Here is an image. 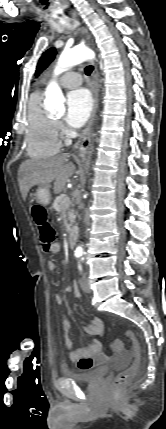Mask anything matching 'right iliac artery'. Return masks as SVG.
I'll list each match as a JSON object with an SVG mask.
<instances>
[{"mask_svg":"<svg viewBox=\"0 0 166 429\" xmlns=\"http://www.w3.org/2000/svg\"><path fill=\"white\" fill-rule=\"evenodd\" d=\"M75 256H76L77 258H78V257H80V255H78V254H76Z\"/></svg>","mask_w":166,"mask_h":429,"instance_id":"obj_1","label":"right iliac artery"}]
</instances>
